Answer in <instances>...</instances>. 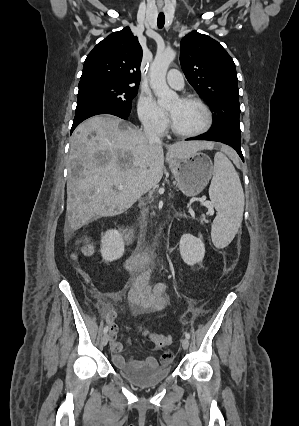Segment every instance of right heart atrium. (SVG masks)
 I'll return each mask as SVG.
<instances>
[{
	"mask_svg": "<svg viewBox=\"0 0 299 426\" xmlns=\"http://www.w3.org/2000/svg\"><path fill=\"white\" fill-rule=\"evenodd\" d=\"M137 113L141 123L148 130L162 133L168 125L167 115L149 92L141 93Z\"/></svg>",
	"mask_w": 299,
	"mask_h": 426,
	"instance_id": "1",
	"label": "right heart atrium"
}]
</instances>
